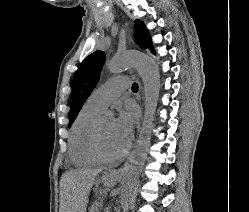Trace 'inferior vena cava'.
Wrapping results in <instances>:
<instances>
[{
	"instance_id": "inferior-vena-cava-1",
	"label": "inferior vena cava",
	"mask_w": 249,
	"mask_h": 212,
	"mask_svg": "<svg viewBox=\"0 0 249 212\" xmlns=\"http://www.w3.org/2000/svg\"><path fill=\"white\" fill-rule=\"evenodd\" d=\"M125 178H127V174H126V172H125V174H124V178H123V180H125Z\"/></svg>"
}]
</instances>
